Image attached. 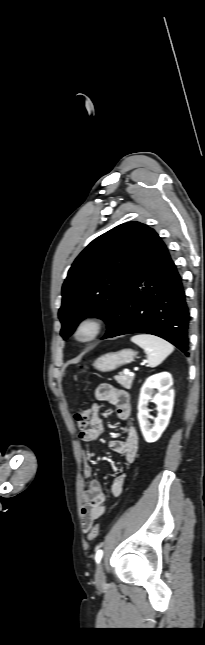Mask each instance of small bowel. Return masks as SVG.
Here are the masks:
<instances>
[{"label": "small bowel", "instance_id": "obj_1", "mask_svg": "<svg viewBox=\"0 0 205 645\" xmlns=\"http://www.w3.org/2000/svg\"><path fill=\"white\" fill-rule=\"evenodd\" d=\"M96 403L92 405V420L89 428L80 432V439L84 442H93L103 433V420L99 414L97 402H105L114 406L117 417L126 423V436L123 440H112L109 443L110 448L123 456L125 464H132L138 454L139 440L138 434L133 425L129 423L131 415V405L129 395L121 389L103 383L95 390ZM83 473L88 479L84 491V504L81 508L82 529L88 532L93 526L95 520L99 519L105 512L104 502L105 493L98 480L93 478V467L89 461L86 452L83 451ZM127 479V473L120 471L111 484V493L118 497L122 494Z\"/></svg>", "mask_w": 205, "mask_h": 645}]
</instances>
